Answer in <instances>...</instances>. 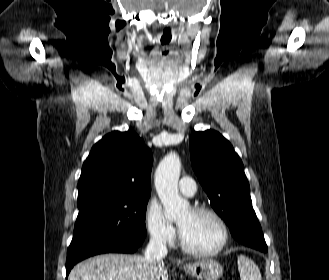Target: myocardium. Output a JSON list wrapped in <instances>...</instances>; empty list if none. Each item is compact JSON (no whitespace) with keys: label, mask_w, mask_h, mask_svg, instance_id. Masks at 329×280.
<instances>
[{"label":"myocardium","mask_w":329,"mask_h":280,"mask_svg":"<svg viewBox=\"0 0 329 280\" xmlns=\"http://www.w3.org/2000/svg\"><path fill=\"white\" fill-rule=\"evenodd\" d=\"M190 210L194 214H206V215L211 216L220 227L221 240H220L219 244L213 249H210V250L195 249V248L189 246L185 242V240L182 237L181 231L179 229V242H180V246H181L182 250L189 255L197 256V257L216 256L217 254H219L220 252H222L224 250V248L226 247V245L229 241V229H228V226H227L225 220L216 210H214L210 207L196 205V206L191 207Z\"/></svg>","instance_id":"f54148a6"}]
</instances>
